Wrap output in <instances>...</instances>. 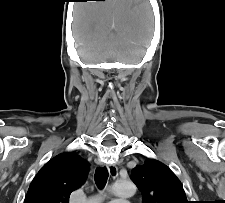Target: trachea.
Masks as SVG:
<instances>
[{"label": "trachea", "instance_id": "3493384b", "mask_svg": "<svg viewBox=\"0 0 225 203\" xmlns=\"http://www.w3.org/2000/svg\"><path fill=\"white\" fill-rule=\"evenodd\" d=\"M108 170L106 167L97 168L95 171V183L99 189L104 188L108 179Z\"/></svg>", "mask_w": 225, "mask_h": 203}]
</instances>
